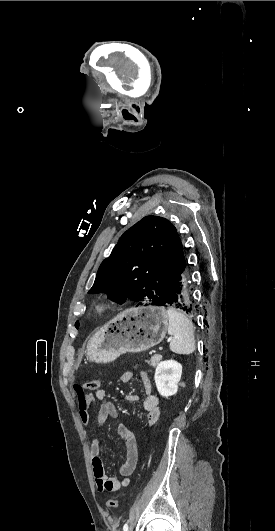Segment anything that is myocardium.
<instances>
[{
  "instance_id": "f54148a6",
  "label": "myocardium",
  "mask_w": 275,
  "mask_h": 531,
  "mask_svg": "<svg viewBox=\"0 0 275 531\" xmlns=\"http://www.w3.org/2000/svg\"><path fill=\"white\" fill-rule=\"evenodd\" d=\"M112 301L111 300H102L97 303H95L92 307V313L95 316H101L106 313H108L112 308Z\"/></svg>"
}]
</instances>
